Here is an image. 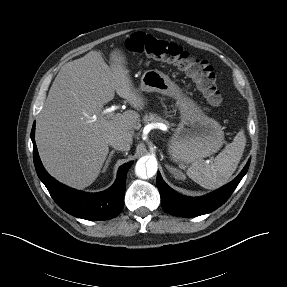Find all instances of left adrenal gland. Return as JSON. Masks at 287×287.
I'll list each match as a JSON object with an SVG mask.
<instances>
[{
  "instance_id": "1",
  "label": "left adrenal gland",
  "mask_w": 287,
  "mask_h": 287,
  "mask_svg": "<svg viewBox=\"0 0 287 287\" xmlns=\"http://www.w3.org/2000/svg\"><path fill=\"white\" fill-rule=\"evenodd\" d=\"M166 168L170 173H172L174 175L175 178L184 179L185 175H183V173L180 170L173 168L170 165H166Z\"/></svg>"
}]
</instances>
